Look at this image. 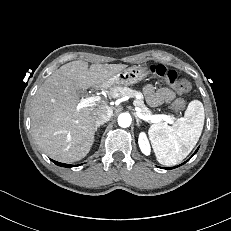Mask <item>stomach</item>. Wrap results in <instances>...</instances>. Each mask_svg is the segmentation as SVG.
<instances>
[{"instance_id": "stomach-1", "label": "stomach", "mask_w": 231, "mask_h": 231, "mask_svg": "<svg viewBox=\"0 0 231 231\" xmlns=\"http://www.w3.org/2000/svg\"><path fill=\"white\" fill-rule=\"evenodd\" d=\"M148 71L146 68L141 66H131L125 68L114 76H112L108 81V86H130L136 84L146 78Z\"/></svg>"}]
</instances>
